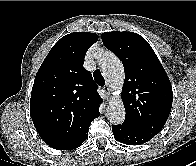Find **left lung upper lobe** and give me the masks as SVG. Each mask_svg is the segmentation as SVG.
<instances>
[{
    "mask_svg": "<svg viewBox=\"0 0 196 166\" xmlns=\"http://www.w3.org/2000/svg\"><path fill=\"white\" fill-rule=\"evenodd\" d=\"M101 38L124 66L122 100L126 117L123 124L158 134L170 114L173 92L155 52L142 36L133 32H106Z\"/></svg>",
    "mask_w": 196,
    "mask_h": 166,
    "instance_id": "5c2ea615",
    "label": "left lung upper lobe"
}]
</instances>
